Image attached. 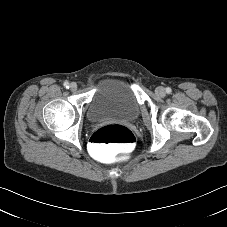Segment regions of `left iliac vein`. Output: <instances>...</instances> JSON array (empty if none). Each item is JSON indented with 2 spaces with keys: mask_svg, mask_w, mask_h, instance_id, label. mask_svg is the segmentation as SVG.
Returning <instances> with one entry per match:
<instances>
[{
  "mask_svg": "<svg viewBox=\"0 0 227 227\" xmlns=\"http://www.w3.org/2000/svg\"><path fill=\"white\" fill-rule=\"evenodd\" d=\"M156 94L159 95V96H165L166 92H165V89L163 87H157L156 88Z\"/></svg>",
  "mask_w": 227,
  "mask_h": 227,
  "instance_id": "obj_1",
  "label": "left iliac vein"
}]
</instances>
